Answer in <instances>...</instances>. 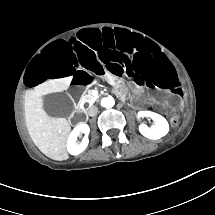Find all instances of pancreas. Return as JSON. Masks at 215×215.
I'll use <instances>...</instances> for the list:
<instances>
[{
  "instance_id": "cf45deb5",
  "label": "pancreas",
  "mask_w": 215,
  "mask_h": 215,
  "mask_svg": "<svg viewBox=\"0 0 215 215\" xmlns=\"http://www.w3.org/2000/svg\"><path fill=\"white\" fill-rule=\"evenodd\" d=\"M98 97L93 96L90 92L83 95L82 99L80 100L81 105L83 106L84 103L93 104Z\"/></svg>"
}]
</instances>
